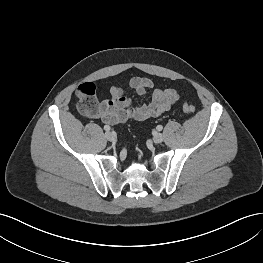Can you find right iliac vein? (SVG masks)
<instances>
[{
    "instance_id": "right-iliac-vein-1",
    "label": "right iliac vein",
    "mask_w": 263,
    "mask_h": 263,
    "mask_svg": "<svg viewBox=\"0 0 263 263\" xmlns=\"http://www.w3.org/2000/svg\"><path fill=\"white\" fill-rule=\"evenodd\" d=\"M105 138L108 140V141H115V135L112 133V132H106L105 133Z\"/></svg>"
}]
</instances>
